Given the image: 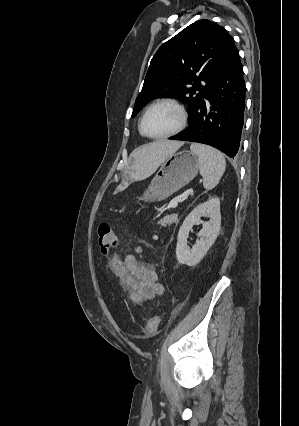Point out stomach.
Listing matches in <instances>:
<instances>
[{"instance_id":"stomach-1","label":"stomach","mask_w":299,"mask_h":426,"mask_svg":"<svg viewBox=\"0 0 299 426\" xmlns=\"http://www.w3.org/2000/svg\"><path fill=\"white\" fill-rule=\"evenodd\" d=\"M198 156L189 151L174 153L162 164L139 200L160 201L188 184L198 173Z\"/></svg>"}]
</instances>
